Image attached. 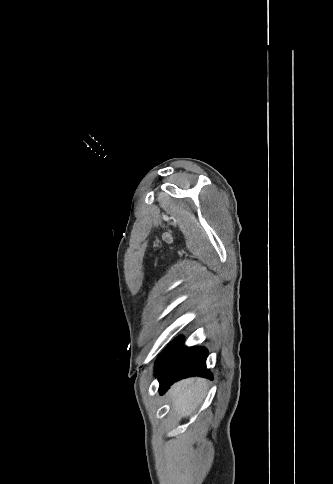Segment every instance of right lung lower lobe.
Returning <instances> with one entry per match:
<instances>
[{
	"instance_id": "obj_1",
	"label": "right lung lower lobe",
	"mask_w": 333,
	"mask_h": 484,
	"mask_svg": "<svg viewBox=\"0 0 333 484\" xmlns=\"http://www.w3.org/2000/svg\"><path fill=\"white\" fill-rule=\"evenodd\" d=\"M183 342V337L173 340L156 361L155 374L160 382L161 393L175 381L188 376L211 377L206 368L207 350L202 347H185Z\"/></svg>"
}]
</instances>
